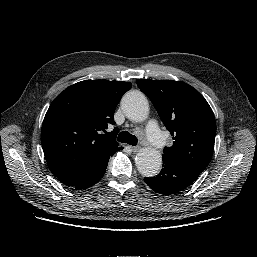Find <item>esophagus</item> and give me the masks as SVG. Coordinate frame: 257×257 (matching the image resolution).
<instances>
[{
	"label": "esophagus",
	"mask_w": 257,
	"mask_h": 257,
	"mask_svg": "<svg viewBox=\"0 0 257 257\" xmlns=\"http://www.w3.org/2000/svg\"><path fill=\"white\" fill-rule=\"evenodd\" d=\"M140 148H141L140 146H131V150L134 153L138 152L140 150Z\"/></svg>",
	"instance_id": "obj_1"
}]
</instances>
